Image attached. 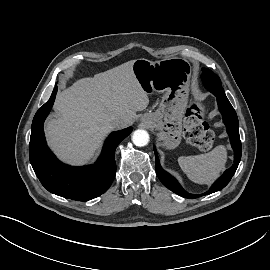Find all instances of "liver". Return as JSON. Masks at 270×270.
<instances>
[{
	"mask_svg": "<svg viewBox=\"0 0 270 270\" xmlns=\"http://www.w3.org/2000/svg\"><path fill=\"white\" fill-rule=\"evenodd\" d=\"M134 61L79 79L58 93L56 118H50L45 129L50 146L62 160L85 163L114 129L113 118H122L125 127L134 122L137 111L146 109L149 98L133 73Z\"/></svg>",
	"mask_w": 270,
	"mask_h": 270,
	"instance_id": "6515ba94",
	"label": "liver"
}]
</instances>
